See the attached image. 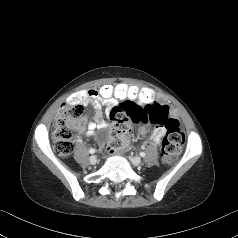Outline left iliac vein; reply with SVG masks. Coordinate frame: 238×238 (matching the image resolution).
<instances>
[{"mask_svg":"<svg viewBox=\"0 0 238 238\" xmlns=\"http://www.w3.org/2000/svg\"><path fill=\"white\" fill-rule=\"evenodd\" d=\"M130 161L132 162V164H134L135 166H140L141 165V159L137 156L134 157H130Z\"/></svg>","mask_w":238,"mask_h":238,"instance_id":"obj_1","label":"left iliac vein"}]
</instances>
